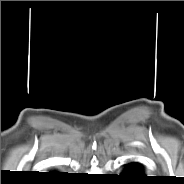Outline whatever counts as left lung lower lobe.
Masks as SVG:
<instances>
[{"instance_id":"obj_1","label":"left lung lower lobe","mask_w":184,"mask_h":184,"mask_svg":"<svg viewBox=\"0 0 184 184\" xmlns=\"http://www.w3.org/2000/svg\"><path fill=\"white\" fill-rule=\"evenodd\" d=\"M122 176L130 181V183H141V181L147 179V176L143 173L142 167L137 163L128 164Z\"/></svg>"}]
</instances>
